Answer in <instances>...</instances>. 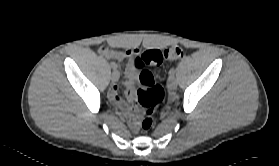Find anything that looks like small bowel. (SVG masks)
<instances>
[{
	"label": "small bowel",
	"mask_w": 279,
	"mask_h": 166,
	"mask_svg": "<svg viewBox=\"0 0 279 166\" xmlns=\"http://www.w3.org/2000/svg\"><path fill=\"white\" fill-rule=\"evenodd\" d=\"M99 52L107 58H113L116 60H124L131 58L135 53L136 50L127 49L124 51L114 50L109 47H101ZM125 74L128 77V81L125 84V87L128 91L127 94V101L129 103H134L137 100V95L132 91L135 83H136V72L132 65H128ZM109 99L120 109H122L127 115L130 120V123L133 127L137 125V111L135 108H129L121 99L118 92V87L113 85L109 92H108Z\"/></svg>",
	"instance_id": "small-bowel-1"
}]
</instances>
